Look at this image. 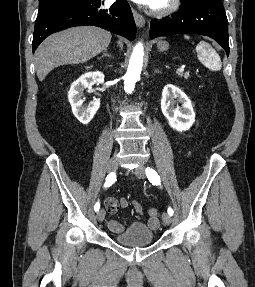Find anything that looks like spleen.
<instances>
[{"label": "spleen", "instance_id": "spleen-1", "mask_svg": "<svg viewBox=\"0 0 255 287\" xmlns=\"http://www.w3.org/2000/svg\"><path fill=\"white\" fill-rule=\"evenodd\" d=\"M184 38L185 40H189V36H184ZM196 50L202 54V62L204 66H208V68H211V70H221V60L217 52H215V50H213L209 44H206V42H200Z\"/></svg>", "mask_w": 255, "mask_h": 287}]
</instances>
